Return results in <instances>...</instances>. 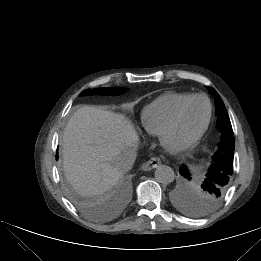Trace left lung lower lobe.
<instances>
[{"label":"left lung lower lobe","instance_id":"obj_1","mask_svg":"<svg viewBox=\"0 0 261 261\" xmlns=\"http://www.w3.org/2000/svg\"><path fill=\"white\" fill-rule=\"evenodd\" d=\"M222 163H224V162L222 161ZM227 166H228V169L230 171H232V173H233V165H227ZM180 174L183 175L184 177H186L187 179H191L189 173L187 172V170L184 166L180 167Z\"/></svg>","mask_w":261,"mask_h":261}]
</instances>
